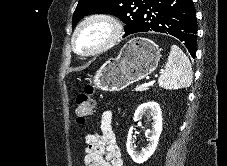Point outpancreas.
<instances>
[{"mask_svg": "<svg viewBox=\"0 0 227 166\" xmlns=\"http://www.w3.org/2000/svg\"><path fill=\"white\" fill-rule=\"evenodd\" d=\"M147 89H148V87L137 86L135 90L136 91H145Z\"/></svg>", "mask_w": 227, "mask_h": 166, "instance_id": "1", "label": "pancreas"}]
</instances>
